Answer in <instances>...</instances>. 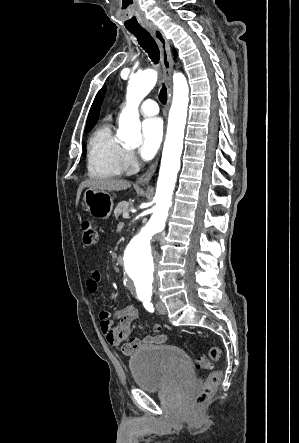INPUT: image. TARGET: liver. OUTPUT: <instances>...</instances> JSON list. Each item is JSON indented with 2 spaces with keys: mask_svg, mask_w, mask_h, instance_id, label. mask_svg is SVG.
Returning <instances> with one entry per match:
<instances>
[{
  "mask_svg": "<svg viewBox=\"0 0 299 443\" xmlns=\"http://www.w3.org/2000/svg\"><path fill=\"white\" fill-rule=\"evenodd\" d=\"M131 187V183L127 180L102 178L91 179L82 182L77 190L76 206L79 203L80 195L84 188H91L102 191H122Z\"/></svg>",
  "mask_w": 299,
  "mask_h": 443,
  "instance_id": "obj_1",
  "label": "liver"
}]
</instances>
